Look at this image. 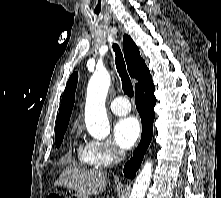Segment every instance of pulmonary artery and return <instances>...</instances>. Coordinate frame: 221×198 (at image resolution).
<instances>
[{"label":"pulmonary artery","mask_w":221,"mask_h":198,"mask_svg":"<svg viewBox=\"0 0 221 198\" xmlns=\"http://www.w3.org/2000/svg\"><path fill=\"white\" fill-rule=\"evenodd\" d=\"M110 108L112 112L118 116H125L131 111L129 101L123 96H118L113 99Z\"/></svg>","instance_id":"obj_1"}]
</instances>
